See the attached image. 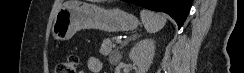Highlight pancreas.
Segmentation results:
<instances>
[{
	"mask_svg": "<svg viewBox=\"0 0 244 73\" xmlns=\"http://www.w3.org/2000/svg\"><path fill=\"white\" fill-rule=\"evenodd\" d=\"M115 45L112 43L110 39H105L100 47L99 53L103 56H110L112 54V49Z\"/></svg>",
	"mask_w": 244,
	"mask_h": 73,
	"instance_id": "obj_1",
	"label": "pancreas"
}]
</instances>
